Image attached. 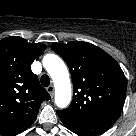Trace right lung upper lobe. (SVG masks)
I'll return each instance as SVG.
<instances>
[{
  "label": "right lung upper lobe",
  "instance_id": "obj_1",
  "mask_svg": "<svg viewBox=\"0 0 136 136\" xmlns=\"http://www.w3.org/2000/svg\"><path fill=\"white\" fill-rule=\"evenodd\" d=\"M44 44L28 43L18 36L0 40V135L15 136L30 127L39 106L50 99L31 71V63Z\"/></svg>",
  "mask_w": 136,
  "mask_h": 136
}]
</instances>
